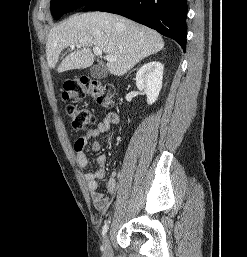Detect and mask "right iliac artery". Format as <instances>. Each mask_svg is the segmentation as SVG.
Masks as SVG:
<instances>
[{
  "instance_id": "1",
  "label": "right iliac artery",
  "mask_w": 247,
  "mask_h": 257,
  "mask_svg": "<svg viewBox=\"0 0 247 257\" xmlns=\"http://www.w3.org/2000/svg\"><path fill=\"white\" fill-rule=\"evenodd\" d=\"M108 226H109V220L105 222V225L102 228V235L104 236L108 230Z\"/></svg>"
}]
</instances>
